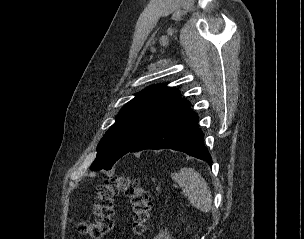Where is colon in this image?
I'll use <instances>...</instances> for the list:
<instances>
[{"instance_id":"colon-1","label":"colon","mask_w":304,"mask_h":239,"mask_svg":"<svg viewBox=\"0 0 304 239\" xmlns=\"http://www.w3.org/2000/svg\"><path fill=\"white\" fill-rule=\"evenodd\" d=\"M119 195L130 201L133 232L142 236L147 230L152 198L139 179L129 175L112 177L96 188L93 199L94 219L78 222V231L90 239H103L113 229L114 199Z\"/></svg>"}]
</instances>
